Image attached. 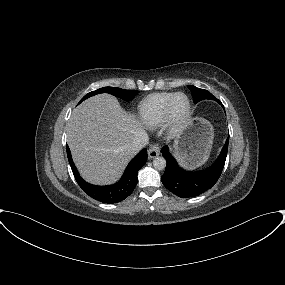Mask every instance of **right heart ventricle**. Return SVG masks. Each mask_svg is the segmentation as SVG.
<instances>
[{"instance_id": "obj_1", "label": "right heart ventricle", "mask_w": 285, "mask_h": 285, "mask_svg": "<svg viewBox=\"0 0 285 285\" xmlns=\"http://www.w3.org/2000/svg\"><path fill=\"white\" fill-rule=\"evenodd\" d=\"M175 93H157L146 97L139 105V115L149 126H159L166 118L167 106Z\"/></svg>"}]
</instances>
